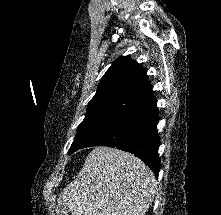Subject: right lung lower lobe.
<instances>
[{
	"label": "right lung lower lobe",
	"mask_w": 221,
	"mask_h": 215,
	"mask_svg": "<svg viewBox=\"0 0 221 215\" xmlns=\"http://www.w3.org/2000/svg\"><path fill=\"white\" fill-rule=\"evenodd\" d=\"M159 121L156 99L122 117L104 133L84 147L109 146L128 151L142 159L158 177L160 138L156 126Z\"/></svg>",
	"instance_id": "98d812e1"
}]
</instances>
